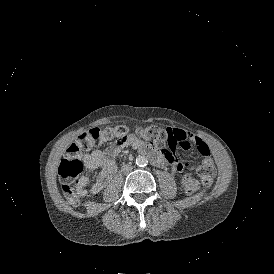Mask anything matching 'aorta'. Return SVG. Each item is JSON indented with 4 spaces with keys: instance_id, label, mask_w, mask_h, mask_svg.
Returning <instances> with one entry per match:
<instances>
[{
    "instance_id": "aorta-1",
    "label": "aorta",
    "mask_w": 274,
    "mask_h": 274,
    "mask_svg": "<svg viewBox=\"0 0 274 274\" xmlns=\"http://www.w3.org/2000/svg\"><path fill=\"white\" fill-rule=\"evenodd\" d=\"M136 164L139 167H145L148 164V159L145 156H138L136 158Z\"/></svg>"
}]
</instances>
